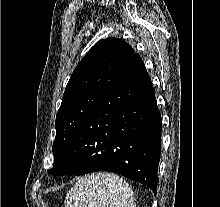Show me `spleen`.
Returning <instances> with one entry per match:
<instances>
[{"mask_svg":"<svg viewBox=\"0 0 220 207\" xmlns=\"http://www.w3.org/2000/svg\"><path fill=\"white\" fill-rule=\"evenodd\" d=\"M65 207H135L134 193L116 174L86 175L67 193Z\"/></svg>","mask_w":220,"mask_h":207,"instance_id":"1","label":"spleen"}]
</instances>
